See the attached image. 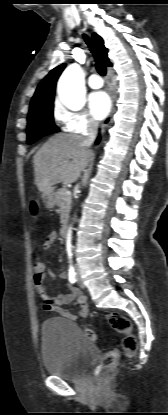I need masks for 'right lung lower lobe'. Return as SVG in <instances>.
Wrapping results in <instances>:
<instances>
[{
    "label": "right lung lower lobe",
    "mask_w": 168,
    "mask_h": 415,
    "mask_svg": "<svg viewBox=\"0 0 168 415\" xmlns=\"http://www.w3.org/2000/svg\"><path fill=\"white\" fill-rule=\"evenodd\" d=\"M99 140H100V138H98V139H97L96 144H98V143H99Z\"/></svg>",
    "instance_id": "obj_1"
}]
</instances>
